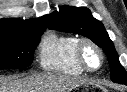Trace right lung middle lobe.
<instances>
[{"label":"right lung middle lobe","instance_id":"obj_1","mask_svg":"<svg viewBox=\"0 0 127 92\" xmlns=\"http://www.w3.org/2000/svg\"><path fill=\"white\" fill-rule=\"evenodd\" d=\"M44 29L23 35H0V69L26 68L33 61V53Z\"/></svg>","mask_w":127,"mask_h":92}]
</instances>
